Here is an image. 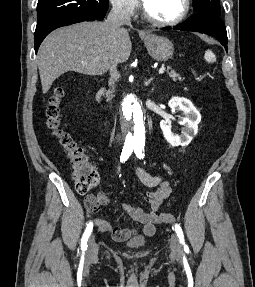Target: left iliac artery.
I'll return each mask as SVG.
<instances>
[{"mask_svg": "<svg viewBox=\"0 0 255 287\" xmlns=\"http://www.w3.org/2000/svg\"><path fill=\"white\" fill-rule=\"evenodd\" d=\"M134 152H135L136 156L139 159H143V157H144V148H142V147H135ZM175 231H176V233H177V235L179 237L180 243L181 244H185L184 243L183 231H182L181 227L178 224L175 225Z\"/></svg>", "mask_w": 255, "mask_h": 287, "instance_id": "obj_1", "label": "left iliac artery"}]
</instances>
